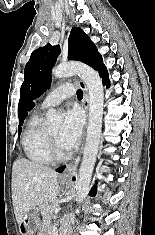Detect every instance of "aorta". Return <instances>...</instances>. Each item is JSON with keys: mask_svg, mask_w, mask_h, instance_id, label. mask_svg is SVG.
I'll return each instance as SVG.
<instances>
[{"mask_svg": "<svg viewBox=\"0 0 155 235\" xmlns=\"http://www.w3.org/2000/svg\"><path fill=\"white\" fill-rule=\"evenodd\" d=\"M73 75H78L81 78L89 94V120L86 144L76 180V201L78 204H81L88 195L99 150L104 108V90L99 74L86 64L79 62L62 63L52 70V76L55 78L70 77ZM46 118L51 124L62 122V116L55 109L48 110Z\"/></svg>", "mask_w": 155, "mask_h": 235, "instance_id": "obj_1", "label": "aorta"}]
</instances>
